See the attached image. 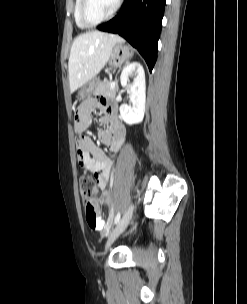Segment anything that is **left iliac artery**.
Instances as JSON below:
<instances>
[{"mask_svg":"<svg viewBox=\"0 0 247 304\" xmlns=\"http://www.w3.org/2000/svg\"><path fill=\"white\" fill-rule=\"evenodd\" d=\"M120 217H121V213L118 212L117 215H116V217H115V219H114V224H117L119 222Z\"/></svg>","mask_w":247,"mask_h":304,"instance_id":"1","label":"left iliac artery"}]
</instances>
